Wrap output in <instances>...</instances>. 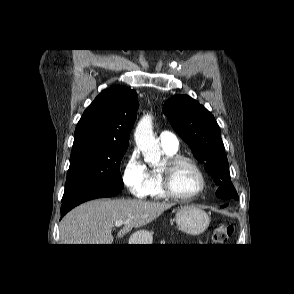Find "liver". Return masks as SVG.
Segmentation results:
<instances>
[{
	"label": "liver",
	"instance_id": "6515ba94",
	"mask_svg": "<svg viewBox=\"0 0 294 294\" xmlns=\"http://www.w3.org/2000/svg\"><path fill=\"white\" fill-rule=\"evenodd\" d=\"M173 203L149 202L137 199H97L70 211L59 224L61 244H112L115 222H124L118 232L120 238L132 228L142 227Z\"/></svg>",
	"mask_w": 294,
	"mask_h": 294
}]
</instances>
